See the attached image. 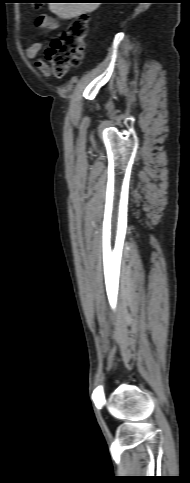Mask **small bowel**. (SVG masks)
Listing matches in <instances>:
<instances>
[{
	"label": "small bowel",
	"mask_w": 190,
	"mask_h": 483,
	"mask_svg": "<svg viewBox=\"0 0 190 483\" xmlns=\"http://www.w3.org/2000/svg\"><path fill=\"white\" fill-rule=\"evenodd\" d=\"M36 26L44 30H56L59 27V23L49 14L43 13L36 18ZM40 50L41 43L35 41L28 46L26 55L28 58L34 59L38 56ZM37 66L42 72L46 73L47 63L44 61V59L38 58Z\"/></svg>",
	"instance_id": "c3829d8e"
}]
</instances>
